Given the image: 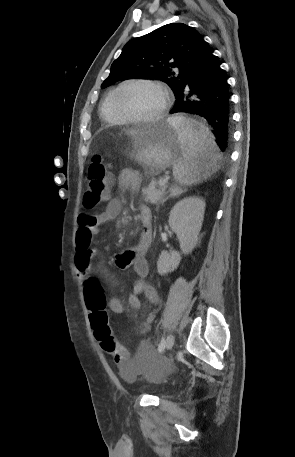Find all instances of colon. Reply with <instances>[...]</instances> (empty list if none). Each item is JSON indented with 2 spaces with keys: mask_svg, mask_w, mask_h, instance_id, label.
Wrapping results in <instances>:
<instances>
[{
  "mask_svg": "<svg viewBox=\"0 0 295 457\" xmlns=\"http://www.w3.org/2000/svg\"><path fill=\"white\" fill-rule=\"evenodd\" d=\"M110 184L111 178L103 157L101 155L93 156L88 167V185L83 198L84 207L92 209L103 201L107 197ZM85 297L91 312V325L99 343V349L111 355L113 363L127 360L130 356L129 351H124L121 343L116 342L112 335L102 285L96 278L86 281Z\"/></svg>",
  "mask_w": 295,
  "mask_h": 457,
  "instance_id": "obj_1",
  "label": "colon"
}]
</instances>
